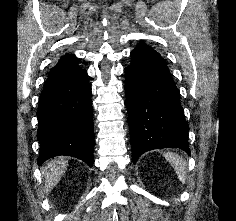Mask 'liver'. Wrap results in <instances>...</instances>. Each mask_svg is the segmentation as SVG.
Here are the masks:
<instances>
[{
    "mask_svg": "<svg viewBox=\"0 0 236 221\" xmlns=\"http://www.w3.org/2000/svg\"><path fill=\"white\" fill-rule=\"evenodd\" d=\"M68 160L64 157L54 158L43 165L41 171L44 177V193L48 194L60 181L67 170Z\"/></svg>",
    "mask_w": 236,
    "mask_h": 221,
    "instance_id": "6515ba94",
    "label": "liver"
}]
</instances>
